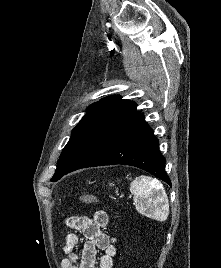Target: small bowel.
<instances>
[{"label": "small bowel", "mask_w": 221, "mask_h": 268, "mask_svg": "<svg viewBox=\"0 0 221 268\" xmlns=\"http://www.w3.org/2000/svg\"><path fill=\"white\" fill-rule=\"evenodd\" d=\"M67 226L81 232L86 239L81 256L77 254L79 239L76 233H69L63 245L66 258L62 268H112L113 257L116 254L114 239L105 232L109 224V216L103 211L95 212L92 217L72 216L67 219ZM98 250L103 255L97 259Z\"/></svg>", "instance_id": "c3829d8e"}]
</instances>
